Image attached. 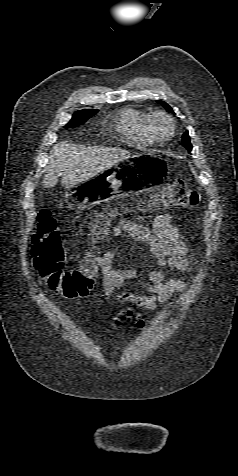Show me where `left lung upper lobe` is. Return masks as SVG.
<instances>
[{"label": "left lung upper lobe", "instance_id": "obj_1", "mask_svg": "<svg viewBox=\"0 0 238 476\" xmlns=\"http://www.w3.org/2000/svg\"><path fill=\"white\" fill-rule=\"evenodd\" d=\"M158 102L161 103L167 109V111L174 113L172 108L166 102L164 101H158ZM181 145L184 146L186 149H188L189 152L192 150V145L190 143L188 132H185V134L182 136Z\"/></svg>", "mask_w": 238, "mask_h": 476}]
</instances>
